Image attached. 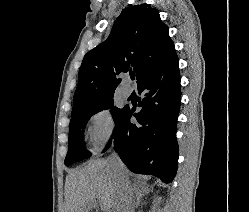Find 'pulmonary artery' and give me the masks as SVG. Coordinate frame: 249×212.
Segmentation results:
<instances>
[{"label": "pulmonary artery", "instance_id": "obj_1", "mask_svg": "<svg viewBox=\"0 0 249 212\" xmlns=\"http://www.w3.org/2000/svg\"><path fill=\"white\" fill-rule=\"evenodd\" d=\"M133 92V87L129 75L123 76V86L121 88V95L123 98H128Z\"/></svg>", "mask_w": 249, "mask_h": 212}]
</instances>
